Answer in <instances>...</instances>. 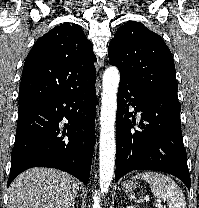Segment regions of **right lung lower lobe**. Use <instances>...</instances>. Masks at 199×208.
<instances>
[{"label": "right lung lower lobe", "mask_w": 199, "mask_h": 208, "mask_svg": "<svg viewBox=\"0 0 199 208\" xmlns=\"http://www.w3.org/2000/svg\"><path fill=\"white\" fill-rule=\"evenodd\" d=\"M95 81L19 106L8 186L31 167L60 169L87 185L95 142ZM63 118L68 120L64 127L59 125Z\"/></svg>", "instance_id": "obj_1"}]
</instances>
